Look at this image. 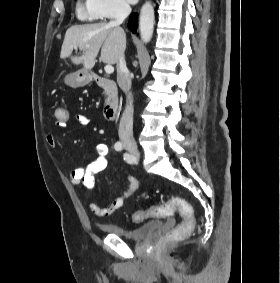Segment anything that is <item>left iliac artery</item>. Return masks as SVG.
<instances>
[{
  "label": "left iliac artery",
  "mask_w": 280,
  "mask_h": 283,
  "mask_svg": "<svg viewBox=\"0 0 280 283\" xmlns=\"http://www.w3.org/2000/svg\"><path fill=\"white\" fill-rule=\"evenodd\" d=\"M124 160H126L127 162H132V157L129 154H124Z\"/></svg>",
  "instance_id": "44dca946"
}]
</instances>
